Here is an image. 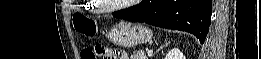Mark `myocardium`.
<instances>
[{"label":"myocardium","mask_w":261,"mask_h":59,"mask_svg":"<svg viewBox=\"0 0 261 59\" xmlns=\"http://www.w3.org/2000/svg\"><path fill=\"white\" fill-rule=\"evenodd\" d=\"M93 3L96 5L97 9L102 13H112V12L120 11V10L127 8V6H129V3H128V4H120V5H116V6L99 7V6H97V1H93Z\"/></svg>","instance_id":"f54148a6"}]
</instances>
